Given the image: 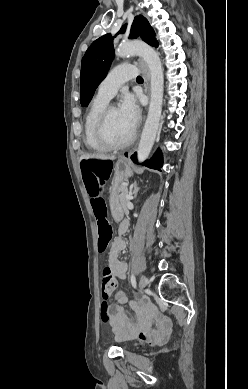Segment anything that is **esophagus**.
<instances>
[{
    "label": "esophagus",
    "mask_w": 248,
    "mask_h": 389,
    "mask_svg": "<svg viewBox=\"0 0 248 389\" xmlns=\"http://www.w3.org/2000/svg\"><path fill=\"white\" fill-rule=\"evenodd\" d=\"M143 68H145V66L143 65ZM145 72H146V78H147V80L149 79V75H148V73H147V70L145 69Z\"/></svg>",
    "instance_id": "esophagus-1"
}]
</instances>
